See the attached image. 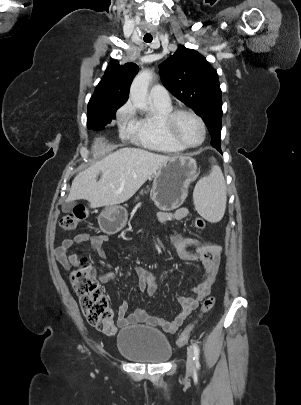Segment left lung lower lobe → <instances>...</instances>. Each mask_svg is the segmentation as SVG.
Returning a JSON list of instances; mask_svg holds the SVG:
<instances>
[{"instance_id": "left-lung-lower-lobe-1", "label": "left lung lower lobe", "mask_w": 301, "mask_h": 405, "mask_svg": "<svg viewBox=\"0 0 301 405\" xmlns=\"http://www.w3.org/2000/svg\"><path fill=\"white\" fill-rule=\"evenodd\" d=\"M211 144H212V146L213 147H215L218 151H220L221 152V146H220V143H218L217 142V140L216 139H211Z\"/></svg>"}]
</instances>
